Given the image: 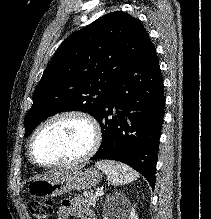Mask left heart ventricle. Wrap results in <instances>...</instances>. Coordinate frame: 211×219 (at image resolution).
Listing matches in <instances>:
<instances>
[{
    "instance_id": "obj_1",
    "label": "left heart ventricle",
    "mask_w": 211,
    "mask_h": 219,
    "mask_svg": "<svg viewBox=\"0 0 211 219\" xmlns=\"http://www.w3.org/2000/svg\"><path fill=\"white\" fill-rule=\"evenodd\" d=\"M91 142L89 127L77 118H60L46 125L33 144L35 158L42 163H56L82 155Z\"/></svg>"
}]
</instances>
